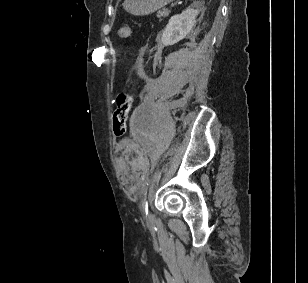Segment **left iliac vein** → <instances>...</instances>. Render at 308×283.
Wrapping results in <instances>:
<instances>
[{"mask_svg":"<svg viewBox=\"0 0 308 283\" xmlns=\"http://www.w3.org/2000/svg\"><path fill=\"white\" fill-rule=\"evenodd\" d=\"M151 218H152L151 215H149V216H148V219L151 220Z\"/></svg>","mask_w":308,"mask_h":283,"instance_id":"1","label":"left iliac vein"}]
</instances>
